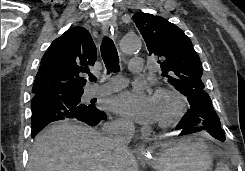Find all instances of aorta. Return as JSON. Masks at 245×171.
Here are the masks:
<instances>
[{
	"instance_id": "762f6f07",
	"label": "aorta",
	"mask_w": 245,
	"mask_h": 171,
	"mask_svg": "<svg viewBox=\"0 0 245 171\" xmlns=\"http://www.w3.org/2000/svg\"><path fill=\"white\" fill-rule=\"evenodd\" d=\"M141 46V40L137 36H124L120 41V49L125 54L137 53Z\"/></svg>"
}]
</instances>
